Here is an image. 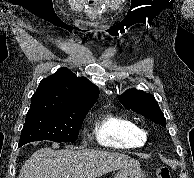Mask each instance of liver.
I'll use <instances>...</instances> for the list:
<instances>
[{
	"label": "liver",
	"instance_id": "6515ba94",
	"mask_svg": "<svg viewBox=\"0 0 194 178\" xmlns=\"http://www.w3.org/2000/svg\"><path fill=\"white\" fill-rule=\"evenodd\" d=\"M139 165L137 160L118 152L44 148L31 155L18 178H97Z\"/></svg>",
	"mask_w": 194,
	"mask_h": 178
}]
</instances>
